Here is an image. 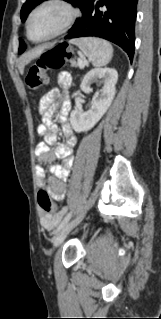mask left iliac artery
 <instances>
[{"label": "left iliac artery", "mask_w": 161, "mask_h": 319, "mask_svg": "<svg viewBox=\"0 0 161 319\" xmlns=\"http://www.w3.org/2000/svg\"><path fill=\"white\" fill-rule=\"evenodd\" d=\"M72 216V211L69 212L65 218L63 219V221L61 222V224L58 226V228L54 231V234H57L67 223L68 221L70 220Z\"/></svg>", "instance_id": "left-iliac-artery-1"}]
</instances>
